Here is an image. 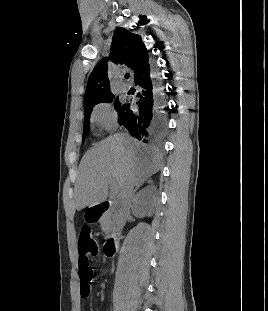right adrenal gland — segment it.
Segmentation results:
<instances>
[{
    "instance_id": "2a0ac1e0",
    "label": "right adrenal gland",
    "mask_w": 268,
    "mask_h": 311,
    "mask_svg": "<svg viewBox=\"0 0 268 311\" xmlns=\"http://www.w3.org/2000/svg\"><path fill=\"white\" fill-rule=\"evenodd\" d=\"M144 182H147V183L150 184V183H152V180H151V179H146L145 181L140 182V183L137 185L136 190H137L140 186H142Z\"/></svg>"
}]
</instances>
